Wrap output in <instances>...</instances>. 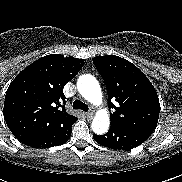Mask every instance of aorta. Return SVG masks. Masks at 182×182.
I'll list each match as a JSON object with an SVG mask.
<instances>
[{
    "mask_svg": "<svg viewBox=\"0 0 182 182\" xmlns=\"http://www.w3.org/2000/svg\"><path fill=\"white\" fill-rule=\"evenodd\" d=\"M77 89L84 99L93 105L102 104V92L97 79L89 74L79 77ZM110 119L105 109L99 110L94 117L91 127L94 133L104 134L108 131Z\"/></svg>",
    "mask_w": 182,
    "mask_h": 182,
    "instance_id": "obj_1",
    "label": "aorta"
}]
</instances>
